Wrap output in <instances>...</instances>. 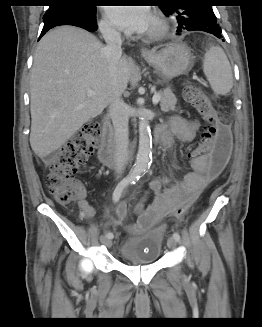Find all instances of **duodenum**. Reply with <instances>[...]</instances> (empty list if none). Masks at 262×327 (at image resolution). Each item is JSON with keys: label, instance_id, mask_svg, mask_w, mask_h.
<instances>
[{"label": "duodenum", "instance_id": "duodenum-1", "mask_svg": "<svg viewBox=\"0 0 262 327\" xmlns=\"http://www.w3.org/2000/svg\"><path fill=\"white\" fill-rule=\"evenodd\" d=\"M98 156L104 164H112L114 162L113 130L107 115H105L102 120V134Z\"/></svg>", "mask_w": 262, "mask_h": 327}]
</instances>
